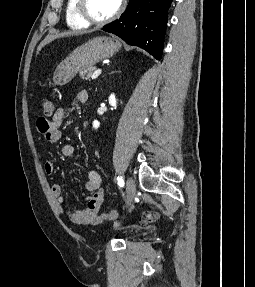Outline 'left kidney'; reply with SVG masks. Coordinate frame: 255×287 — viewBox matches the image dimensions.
<instances>
[{"label": "left kidney", "mask_w": 255, "mask_h": 287, "mask_svg": "<svg viewBox=\"0 0 255 287\" xmlns=\"http://www.w3.org/2000/svg\"><path fill=\"white\" fill-rule=\"evenodd\" d=\"M109 104H110V106H114V108H116L117 100L115 98V94H111V96H109ZM99 126H100V122H98V120H94L93 128H95V130H96V128H99Z\"/></svg>", "instance_id": "left-kidney-1"}]
</instances>
